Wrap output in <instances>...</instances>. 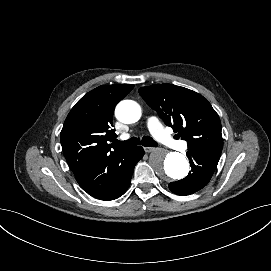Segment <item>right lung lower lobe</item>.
Here are the masks:
<instances>
[{
  "instance_id": "right-lung-lower-lobe-1",
  "label": "right lung lower lobe",
  "mask_w": 271,
  "mask_h": 271,
  "mask_svg": "<svg viewBox=\"0 0 271 271\" xmlns=\"http://www.w3.org/2000/svg\"><path fill=\"white\" fill-rule=\"evenodd\" d=\"M143 155L141 146L127 148L103 161L77 182L85 192L97 199L114 200L128 189L134 167Z\"/></svg>"
}]
</instances>
